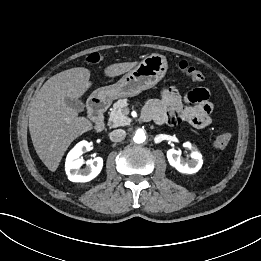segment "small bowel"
<instances>
[{
  "label": "small bowel",
  "instance_id": "obj_1",
  "mask_svg": "<svg viewBox=\"0 0 261 261\" xmlns=\"http://www.w3.org/2000/svg\"><path fill=\"white\" fill-rule=\"evenodd\" d=\"M213 106L206 87H198L182 96L175 87H165L157 99L150 100L142 118L158 124L187 122L196 128L212 123Z\"/></svg>",
  "mask_w": 261,
  "mask_h": 261
}]
</instances>
